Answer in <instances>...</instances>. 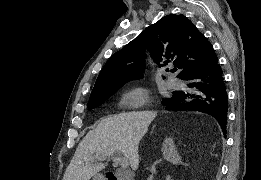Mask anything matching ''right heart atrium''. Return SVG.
<instances>
[{
    "mask_svg": "<svg viewBox=\"0 0 261 180\" xmlns=\"http://www.w3.org/2000/svg\"><path fill=\"white\" fill-rule=\"evenodd\" d=\"M151 103L149 92L141 87L133 88L120 97L123 108H145Z\"/></svg>",
    "mask_w": 261,
    "mask_h": 180,
    "instance_id": "1",
    "label": "right heart atrium"
}]
</instances>
